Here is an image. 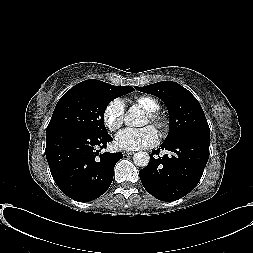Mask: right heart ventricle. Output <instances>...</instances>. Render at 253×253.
<instances>
[{"label":"right heart ventricle","instance_id":"1","mask_svg":"<svg viewBox=\"0 0 253 253\" xmlns=\"http://www.w3.org/2000/svg\"><path fill=\"white\" fill-rule=\"evenodd\" d=\"M130 102L134 107H138L144 112H158L160 109L159 102L149 95L136 96Z\"/></svg>","mask_w":253,"mask_h":253}]
</instances>
